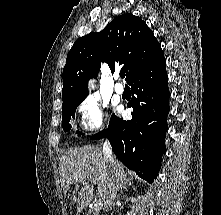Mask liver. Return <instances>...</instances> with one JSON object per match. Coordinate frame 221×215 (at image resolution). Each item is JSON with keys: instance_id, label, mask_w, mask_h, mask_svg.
Listing matches in <instances>:
<instances>
[{"instance_id": "6515ba94", "label": "liver", "mask_w": 221, "mask_h": 215, "mask_svg": "<svg viewBox=\"0 0 221 215\" xmlns=\"http://www.w3.org/2000/svg\"><path fill=\"white\" fill-rule=\"evenodd\" d=\"M60 177L64 193L70 192L72 185L82 183L77 198V212L85 209L93 198L94 187L104 198L112 177L118 182L125 180L127 172L121 162L114 159L110 163L97 146H84L67 150L60 160Z\"/></svg>"}]
</instances>
